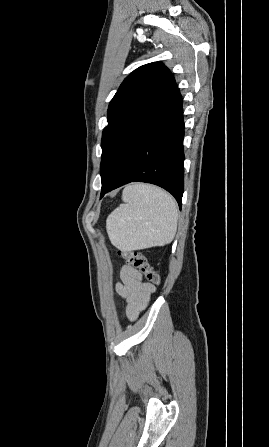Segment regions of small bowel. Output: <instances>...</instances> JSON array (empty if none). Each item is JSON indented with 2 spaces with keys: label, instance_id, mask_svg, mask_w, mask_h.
I'll return each mask as SVG.
<instances>
[{
  "label": "small bowel",
  "instance_id": "obj_1",
  "mask_svg": "<svg viewBox=\"0 0 269 447\" xmlns=\"http://www.w3.org/2000/svg\"><path fill=\"white\" fill-rule=\"evenodd\" d=\"M119 276L116 291L126 301L128 318L134 320L147 307L155 286L144 281L140 271L129 264L121 267Z\"/></svg>",
  "mask_w": 269,
  "mask_h": 447
}]
</instances>
